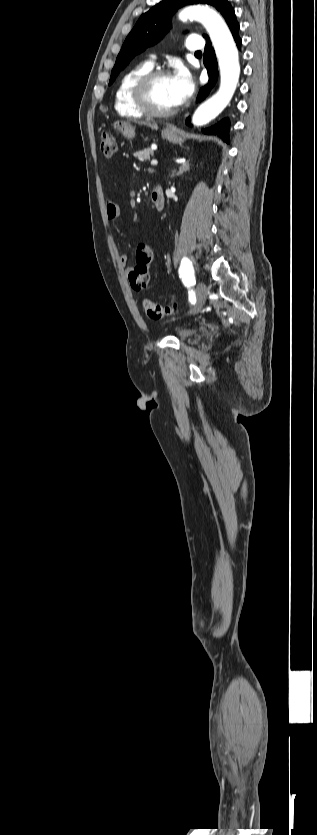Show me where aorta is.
I'll use <instances>...</instances> for the list:
<instances>
[{
	"mask_svg": "<svg viewBox=\"0 0 317 835\" xmlns=\"http://www.w3.org/2000/svg\"><path fill=\"white\" fill-rule=\"evenodd\" d=\"M190 18L199 21L207 30L220 70L218 92L200 105L192 118L195 126H202L215 119L230 103L239 81L240 65L232 34L215 10L203 5H195L186 7L179 13V19L182 21Z\"/></svg>",
	"mask_w": 317,
	"mask_h": 835,
	"instance_id": "1",
	"label": "aorta"
}]
</instances>
